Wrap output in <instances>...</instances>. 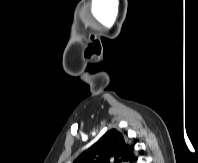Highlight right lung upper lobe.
<instances>
[{
  "instance_id": "right-lung-upper-lobe-1",
  "label": "right lung upper lobe",
  "mask_w": 198,
  "mask_h": 163,
  "mask_svg": "<svg viewBox=\"0 0 198 163\" xmlns=\"http://www.w3.org/2000/svg\"><path fill=\"white\" fill-rule=\"evenodd\" d=\"M132 151L133 148L125 143L123 135L116 129H112L84 151L73 163H121L127 160L132 161Z\"/></svg>"
}]
</instances>
